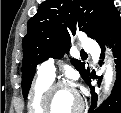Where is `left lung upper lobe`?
Segmentation results:
<instances>
[{
	"mask_svg": "<svg viewBox=\"0 0 121 113\" xmlns=\"http://www.w3.org/2000/svg\"><path fill=\"white\" fill-rule=\"evenodd\" d=\"M119 12L113 0H46L28 22L23 38L22 91L27 97L36 66L49 57L59 59L68 52L77 30L97 43L110 33ZM85 82L89 68L80 60H71Z\"/></svg>",
	"mask_w": 121,
	"mask_h": 113,
	"instance_id": "1",
	"label": "left lung upper lobe"
}]
</instances>
